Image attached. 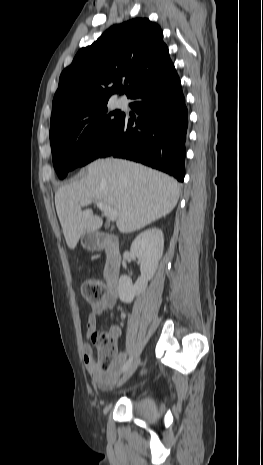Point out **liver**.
Masks as SVG:
<instances>
[{
  "mask_svg": "<svg viewBox=\"0 0 263 465\" xmlns=\"http://www.w3.org/2000/svg\"><path fill=\"white\" fill-rule=\"evenodd\" d=\"M178 182L167 174L122 159H99L87 167L80 180L60 187L55 206L66 243L74 249L85 232L98 231L103 221L91 209L81 210L86 200L117 209L120 232L131 233L168 215L177 205Z\"/></svg>",
  "mask_w": 263,
  "mask_h": 465,
  "instance_id": "obj_1",
  "label": "liver"
}]
</instances>
